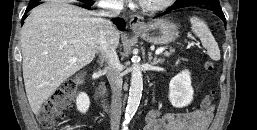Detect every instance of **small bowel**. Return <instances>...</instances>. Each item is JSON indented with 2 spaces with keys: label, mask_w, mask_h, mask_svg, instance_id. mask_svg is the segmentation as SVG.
I'll use <instances>...</instances> for the list:
<instances>
[{
  "label": "small bowel",
  "mask_w": 257,
  "mask_h": 130,
  "mask_svg": "<svg viewBox=\"0 0 257 130\" xmlns=\"http://www.w3.org/2000/svg\"><path fill=\"white\" fill-rule=\"evenodd\" d=\"M213 110L185 113H162L152 110L146 117L144 130H206L211 122Z\"/></svg>",
  "instance_id": "c3829d8e"
}]
</instances>
